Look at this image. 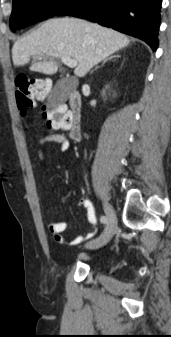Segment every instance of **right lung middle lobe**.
<instances>
[{"mask_svg":"<svg viewBox=\"0 0 171 337\" xmlns=\"http://www.w3.org/2000/svg\"><path fill=\"white\" fill-rule=\"evenodd\" d=\"M75 0H13L9 26L15 30L56 15Z\"/></svg>","mask_w":171,"mask_h":337,"instance_id":"dd1d6c3e","label":"right lung middle lobe"}]
</instances>
